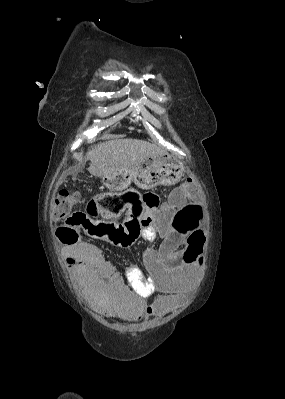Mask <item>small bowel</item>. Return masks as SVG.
Wrapping results in <instances>:
<instances>
[{
  "label": "small bowel",
  "instance_id": "obj_1",
  "mask_svg": "<svg viewBox=\"0 0 285 399\" xmlns=\"http://www.w3.org/2000/svg\"><path fill=\"white\" fill-rule=\"evenodd\" d=\"M128 197L141 199L133 191L128 192ZM186 199L184 195L178 197L174 206H183ZM99 200L100 197H97L84 204L85 216L91 226L83 227L96 237L104 236L116 226L112 219L120 214L117 205L104 207ZM158 208L159 204L146 207L147 216L152 217ZM164 209H170V206H165ZM193 221L192 218L184 223L165 224V220H158L148 224L143 232V239L152 242L157 234L166 235L168 239L164 250L175 246L183 247V260L176 267H166L159 250L147 249L143 254V266L149 273L147 279L141 269L130 267L125 280L116 267L94 245L86 241L65 246L63 255L79 289L104 316L129 321L159 316L180 307L193 289L198 274L197 248L201 233L190 228ZM60 226L65 228V222ZM61 234L69 236L65 229ZM151 294H155V297L147 302Z\"/></svg>",
  "mask_w": 285,
  "mask_h": 399
}]
</instances>
